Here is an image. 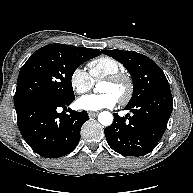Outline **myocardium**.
<instances>
[{"label":"myocardium","instance_id":"1","mask_svg":"<svg viewBox=\"0 0 193 193\" xmlns=\"http://www.w3.org/2000/svg\"><path fill=\"white\" fill-rule=\"evenodd\" d=\"M103 81L112 84H125L126 92L122 97L118 99V102L122 105L127 104L134 94V82L129 74L126 72H120L112 74L103 78Z\"/></svg>","mask_w":193,"mask_h":193}]
</instances>
